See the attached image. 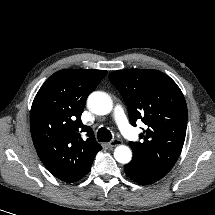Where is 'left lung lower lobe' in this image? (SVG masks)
Wrapping results in <instances>:
<instances>
[{
    "label": "left lung lower lobe",
    "mask_w": 215,
    "mask_h": 215,
    "mask_svg": "<svg viewBox=\"0 0 215 215\" xmlns=\"http://www.w3.org/2000/svg\"><path fill=\"white\" fill-rule=\"evenodd\" d=\"M124 170L130 179L143 185L152 184L166 175L144 167L141 163L133 160L125 165Z\"/></svg>",
    "instance_id": "0a47b994"
}]
</instances>
